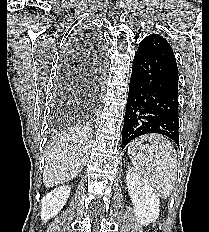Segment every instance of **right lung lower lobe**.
Segmentation results:
<instances>
[{
    "label": "right lung lower lobe",
    "mask_w": 209,
    "mask_h": 232,
    "mask_svg": "<svg viewBox=\"0 0 209 232\" xmlns=\"http://www.w3.org/2000/svg\"><path fill=\"white\" fill-rule=\"evenodd\" d=\"M79 53L76 54V56H79L78 54H80V51H78ZM84 58H87L88 60H92L95 64V72L97 73V76L100 78V76L102 75L103 72V66H102V60H101V55H100V50L99 48H91V50L88 51H83V53H81Z\"/></svg>",
    "instance_id": "right-lung-lower-lobe-1"
}]
</instances>
